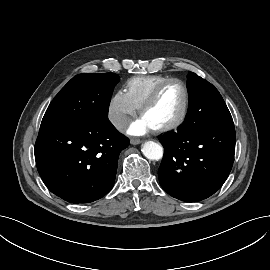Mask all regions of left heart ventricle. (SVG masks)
I'll return each instance as SVG.
<instances>
[{"label":"left heart ventricle","mask_w":270,"mask_h":270,"mask_svg":"<svg viewBox=\"0 0 270 270\" xmlns=\"http://www.w3.org/2000/svg\"><path fill=\"white\" fill-rule=\"evenodd\" d=\"M184 103V90L179 83L166 86L154 104L142 115L153 126H162L174 120L181 112Z\"/></svg>","instance_id":"left-heart-ventricle-1"}]
</instances>
